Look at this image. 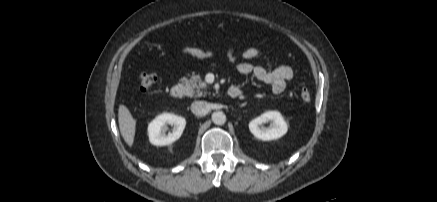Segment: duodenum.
<instances>
[{
	"instance_id": "obj_1",
	"label": "duodenum",
	"mask_w": 437,
	"mask_h": 202,
	"mask_svg": "<svg viewBox=\"0 0 437 202\" xmlns=\"http://www.w3.org/2000/svg\"><path fill=\"white\" fill-rule=\"evenodd\" d=\"M171 95L176 98V99H180L183 97L184 95V87L181 84H175L172 86L171 88ZM227 95L230 98H236L240 95V90L237 87H230L227 90Z\"/></svg>"
}]
</instances>
